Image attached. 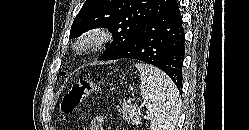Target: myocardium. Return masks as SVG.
<instances>
[{
	"label": "myocardium",
	"mask_w": 249,
	"mask_h": 130,
	"mask_svg": "<svg viewBox=\"0 0 249 130\" xmlns=\"http://www.w3.org/2000/svg\"><path fill=\"white\" fill-rule=\"evenodd\" d=\"M112 31L108 27L98 26L88 29L72 43V51L77 55H84L101 48L111 41Z\"/></svg>",
	"instance_id": "f54148a6"
}]
</instances>
